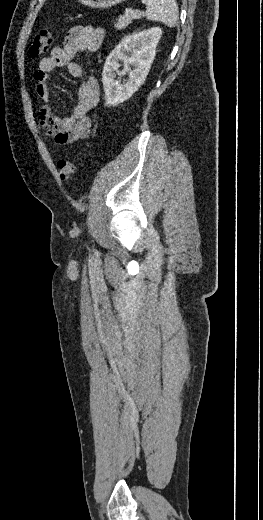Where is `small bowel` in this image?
Wrapping results in <instances>:
<instances>
[{"instance_id": "small-bowel-1", "label": "small bowel", "mask_w": 263, "mask_h": 520, "mask_svg": "<svg viewBox=\"0 0 263 520\" xmlns=\"http://www.w3.org/2000/svg\"><path fill=\"white\" fill-rule=\"evenodd\" d=\"M104 30L91 26H74L66 34L64 43L51 50L49 56L39 61L34 73L36 93L41 101L39 121L57 145H68L87 138L91 133L92 120L88 113L100 96L97 79L93 76L83 81L77 91V103L71 115L60 117L51 105L50 74L58 67H67L71 76L81 79L83 72L79 64L72 61L78 52H95L103 43Z\"/></svg>"}]
</instances>
